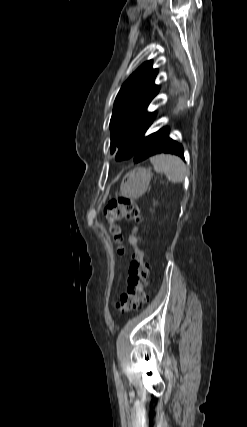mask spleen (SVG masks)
I'll list each match as a JSON object with an SVG mask.
<instances>
[{"mask_svg":"<svg viewBox=\"0 0 247 427\" xmlns=\"http://www.w3.org/2000/svg\"><path fill=\"white\" fill-rule=\"evenodd\" d=\"M151 163L156 172H163L172 183H180L186 176V166L177 156L169 154L156 155L151 158Z\"/></svg>","mask_w":247,"mask_h":427,"instance_id":"spleen-1","label":"spleen"}]
</instances>
